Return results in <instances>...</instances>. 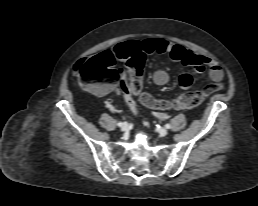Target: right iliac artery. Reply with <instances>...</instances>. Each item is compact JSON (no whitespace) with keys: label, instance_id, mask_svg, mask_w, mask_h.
<instances>
[{"label":"right iliac artery","instance_id":"obj_1","mask_svg":"<svg viewBox=\"0 0 258 206\" xmlns=\"http://www.w3.org/2000/svg\"><path fill=\"white\" fill-rule=\"evenodd\" d=\"M122 124H123L122 122H119L117 125H118L119 127H121V126H122Z\"/></svg>","mask_w":258,"mask_h":206}]
</instances>
